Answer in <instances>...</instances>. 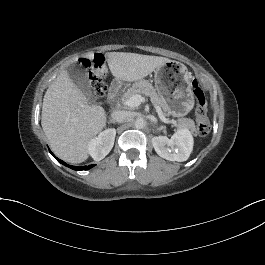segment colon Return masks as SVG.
Segmentation results:
<instances>
[{
    "instance_id": "colon-1",
    "label": "colon",
    "mask_w": 265,
    "mask_h": 265,
    "mask_svg": "<svg viewBox=\"0 0 265 265\" xmlns=\"http://www.w3.org/2000/svg\"><path fill=\"white\" fill-rule=\"evenodd\" d=\"M83 65L93 68L92 82L95 94L101 98L105 95L107 86L104 81L105 58L102 54H97L92 60L81 59ZM192 89L196 98L197 129L200 135L205 136L211 131V124L208 118L207 100L200 83L194 79Z\"/></svg>"
}]
</instances>
